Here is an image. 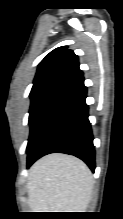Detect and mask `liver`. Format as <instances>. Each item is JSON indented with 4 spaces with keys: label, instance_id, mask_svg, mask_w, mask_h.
Segmentation results:
<instances>
[{
    "label": "liver",
    "instance_id": "1",
    "mask_svg": "<svg viewBox=\"0 0 123 219\" xmlns=\"http://www.w3.org/2000/svg\"><path fill=\"white\" fill-rule=\"evenodd\" d=\"M92 188V173L82 160L49 154L29 169L28 205L33 212H85Z\"/></svg>",
    "mask_w": 123,
    "mask_h": 219
}]
</instances>
